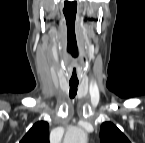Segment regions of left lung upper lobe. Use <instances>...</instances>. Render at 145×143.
Wrapping results in <instances>:
<instances>
[{"label":"left lung upper lobe","mask_w":145,"mask_h":143,"mask_svg":"<svg viewBox=\"0 0 145 143\" xmlns=\"http://www.w3.org/2000/svg\"><path fill=\"white\" fill-rule=\"evenodd\" d=\"M100 140L101 143H129L127 137L110 122L101 125Z\"/></svg>","instance_id":"1"}]
</instances>
